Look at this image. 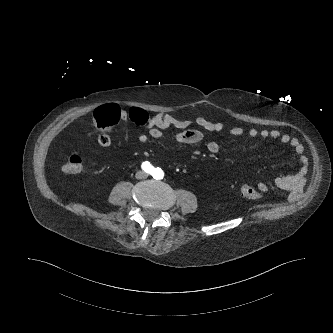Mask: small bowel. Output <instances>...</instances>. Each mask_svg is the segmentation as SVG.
I'll return each instance as SVG.
<instances>
[{"label":"small bowel","mask_w":333,"mask_h":333,"mask_svg":"<svg viewBox=\"0 0 333 333\" xmlns=\"http://www.w3.org/2000/svg\"><path fill=\"white\" fill-rule=\"evenodd\" d=\"M119 118L122 121H132L141 129H147L146 132L138 136L141 143H147L150 139L169 138L180 144H196L203 139V133L194 128L196 126L204 129L209 133H228L232 136L240 137L247 134L248 137L254 139L257 137L267 139L273 138L280 142L289 145L295 152L299 163L300 170L294 176H284L276 179V184L282 188L288 189L290 196L297 194L304 184V173L309 166L308 157L304 154V146L296 137H292L278 129H261L249 128L245 130L241 125L233 124L227 127L222 122H212L204 117H196L194 119H179L170 114L158 113L150 116L145 110L139 107H133L129 111L120 110ZM174 127L180 131L168 134L166 130ZM111 141V135L107 131H102L97 137V142L101 146H108ZM207 150L216 154L221 150V143L218 139L210 140L207 145ZM256 187L262 191H267V184L263 181H258Z\"/></svg>","instance_id":"1"}]
</instances>
